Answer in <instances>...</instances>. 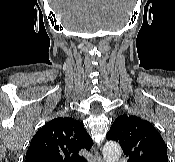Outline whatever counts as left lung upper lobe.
I'll return each instance as SVG.
<instances>
[{
  "mask_svg": "<svg viewBox=\"0 0 175 162\" xmlns=\"http://www.w3.org/2000/svg\"><path fill=\"white\" fill-rule=\"evenodd\" d=\"M106 138L120 143L128 162H168L161 135L150 122L139 117L119 116Z\"/></svg>",
  "mask_w": 175,
  "mask_h": 162,
  "instance_id": "1",
  "label": "left lung upper lobe"
}]
</instances>
